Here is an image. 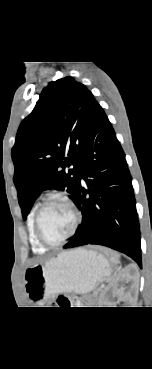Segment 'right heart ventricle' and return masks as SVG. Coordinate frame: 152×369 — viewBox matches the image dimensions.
<instances>
[{"label": "right heart ventricle", "mask_w": 152, "mask_h": 369, "mask_svg": "<svg viewBox=\"0 0 152 369\" xmlns=\"http://www.w3.org/2000/svg\"><path fill=\"white\" fill-rule=\"evenodd\" d=\"M36 210H37V207L36 206L33 207L28 216L27 227H28L29 241L31 243V246L34 252L44 253L46 251V248L38 242L36 235H35V230H34V217H35Z\"/></svg>", "instance_id": "e07e8e85"}]
</instances>
